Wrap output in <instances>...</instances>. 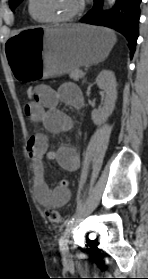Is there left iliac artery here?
Wrapping results in <instances>:
<instances>
[{
  "label": "left iliac artery",
  "instance_id": "1",
  "mask_svg": "<svg viewBox=\"0 0 148 279\" xmlns=\"http://www.w3.org/2000/svg\"><path fill=\"white\" fill-rule=\"evenodd\" d=\"M75 217H76V215H73V216L71 217V219L67 222V224H66V228H67V229H68L69 227L72 226V224H73V222H74V220H75Z\"/></svg>",
  "mask_w": 148,
  "mask_h": 279
}]
</instances>
